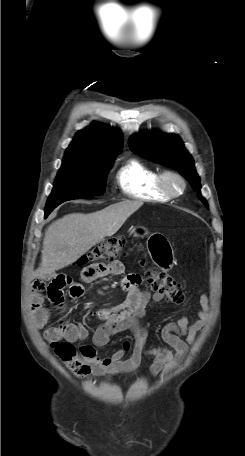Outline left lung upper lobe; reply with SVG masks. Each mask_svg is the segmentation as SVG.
<instances>
[{"instance_id": "left-lung-upper-lobe-1", "label": "left lung upper lobe", "mask_w": 245, "mask_h": 456, "mask_svg": "<svg viewBox=\"0 0 245 456\" xmlns=\"http://www.w3.org/2000/svg\"><path fill=\"white\" fill-rule=\"evenodd\" d=\"M128 145L134 153L177 170L189 181L202 203L207 205L200 193V178L195 170L194 160L177 135L139 133L129 139Z\"/></svg>"}]
</instances>
